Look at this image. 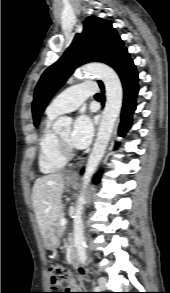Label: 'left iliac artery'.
Listing matches in <instances>:
<instances>
[{
	"instance_id": "1",
	"label": "left iliac artery",
	"mask_w": 170,
	"mask_h": 293,
	"mask_svg": "<svg viewBox=\"0 0 170 293\" xmlns=\"http://www.w3.org/2000/svg\"><path fill=\"white\" fill-rule=\"evenodd\" d=\"M95 290H96V291H99V290H100V288H99V287H95Z\"/></svg>"
}]
</instances>
